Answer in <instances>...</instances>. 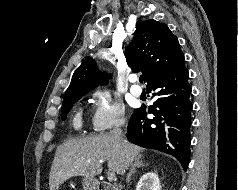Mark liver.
Here are the masks:
<instances>
[{
  "mask_svg": "<svg viewBox=\"0 0 238 190\" xmlns=\"http://www.w3.org/2000/svg\"><path fill=\"white\" fill-rule=\"evenodd\" d=\"M142 149L122 138L118 142L112 134H100L81 139H70L57 147L49 174L50 190H58L74 176L94 178L108 169L123 175L132 162L141 157Z\"/></svg>",
  "mask_w": 238,
  "mask_h": 190,
  "instance_id": "1",
  "label": "liver"
}]
</instances>
